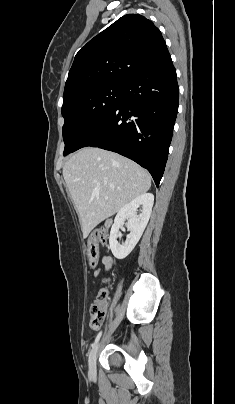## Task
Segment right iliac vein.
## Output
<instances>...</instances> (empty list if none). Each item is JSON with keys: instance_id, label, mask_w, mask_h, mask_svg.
<instances>
[{"instance_id": "1", "label": "right iliac vein", "mask_w": 235, "mask_h": 404, "mask_svg": "<svg viewBox=\"0 0 235 404\" xmlns=\"http://www.w3.org/2000/svg\"><path fill=\"white\" fill-rule=\"evenodd\" d=\"M98 345L94 346L89 355V372L92 376L96 373V357H97Z\"/></svg>"}]
</instances>
